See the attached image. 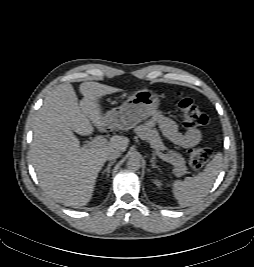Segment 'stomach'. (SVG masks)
Returning a JSON list of instances; mask_svg holds the SVG:
<instances>
[{"label":"stomach","instance_id":"1","mask_svg":"<svg viewBox=\"0 0 254 267\" xmlns=\"http://www.w3.org/2000/svg\"><path fill=\"white\" fill-rule=\"evenodd\" d=\"M160 105L158 95L149 89L133 92L119 107L105 113L106 120L115 128L128 130L153 115Z\"/></svg>","mask_w":254,"mask_h":267}]
</instances>
